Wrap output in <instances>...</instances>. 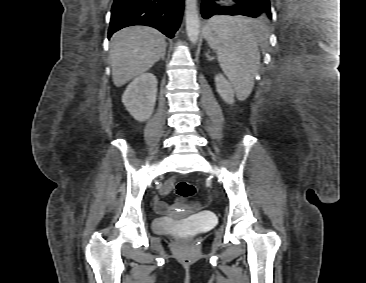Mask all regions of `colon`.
Segmentation results:
<instances>
[{
	"label": "colon",
	"mask_w": 366,
	"mask_h": 283,
	"mask_svg": "<svg viewBox=\"0 0 366 283\" xmlns=\"http://www.w3.org/2000/svg\"><path fill=\"white\" fill-rule=\"evenodd\" d=\"M175 191L176 194L184 200H190L194 198L196 194L195 186L187 181L178 182Z\"/></svg>",
	"instance_id": "5ec220e1"
}]
</instances>
